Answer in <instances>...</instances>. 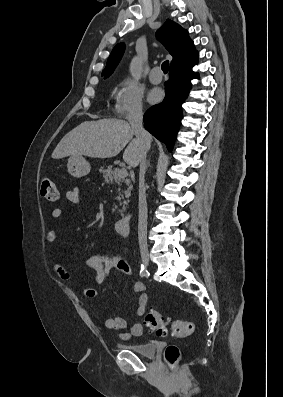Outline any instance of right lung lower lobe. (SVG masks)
Returning a JSON list of instances; mask_svg holds the SVG:
<instances>
[{
  "label": "right lung lower lobe",
  "mask_w": 283,
  "mask_h": 397,
  "mask_svg": "<svg viewBox=\"0 0 283 397\" xmlns=\"http://www.w3.org/2000/svg\"><path fill=\"white\" fill-rule=\"evenodd\" d=\"M198 57L186 63L170 68L166 96L162 103L151 107L144 115L145 129L158 140L165 143L171 151L181 119V104L190 90V80L198 78L191 68Z\"/></svg>",
  "instance_id": "obj_1"
}]
</instances>
